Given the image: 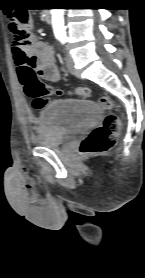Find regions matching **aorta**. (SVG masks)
<instances>
[{"label":"aorta","mask_w":145,"mask_h":278,"mask_svg":"<svg viewBox=\"0 0 145 278\" xmlns=\"http://www.w3.org/2000/svg\"><path fill=\"white\" fill-rule=\"evenodd\" d=\"M52 26L56 37H63L66 35L64 9H52Z\"/></svg>","instance_id":"1"}]
</instances>
